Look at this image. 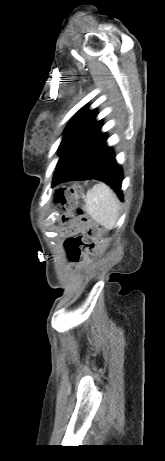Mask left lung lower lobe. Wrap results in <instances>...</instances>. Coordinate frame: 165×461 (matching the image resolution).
Returning a JSON list of instances; mask_svg holds the SVG:
<instances>
[{"label": "left lung lower lobe", "instance_id": "left-lung-lower-lobe-1", "mask_svg": "<svg viewBox=\"0 0 165 461\" xmlns=\"http://www.w3.org/2000/svg\"><path fill=\"white\" fill-rule=\"evenodd\" d=\"M97 122L66 154L56 168L52 185L71 180L97 179L111 186L122 200V168L117 164L106 135Z\"/></svg>", "mask_w": 165, "mask_h": 461}]
</instances>
